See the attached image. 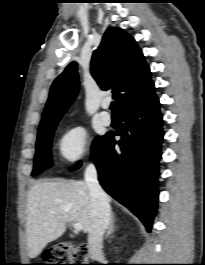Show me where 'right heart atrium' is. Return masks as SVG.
<instances>
[{"mask_svg": "<svg viewBox=\"0 0 205 265\" xmlns=\"http://www.w3.org/2000/svg\"><path fill=\"white\" fill-rule=\"evenodd\" d=\"M58 151L68 163L80 161L88 151V133L84 126L77 124L68 128L58 142Z\"/></svg>", "mask_w": 205, "mask_h": 265, "instance_id": "1", "label": "right heart atrium"}]
</instances>
